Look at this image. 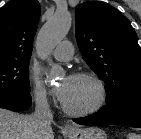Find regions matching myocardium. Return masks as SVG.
Masks as SVG:
<instances>
[{
  "instance_id": "1",
  "label": "myocardium",
  "mask_w": 141,
  "mask_h": 139,
  "mask_svg": "<svg viewBox=\"0 0 141 139\" xmlns=\"http://www.w3.org/2000/svg\"><path fill=\"white\" fill-rule=\"evenodd\" d=\"M71 77L91 80L98 89V98L92 106L84 109H73L62 102L63 111L71 116H89L100 111L105 106L108 97V91L104 81L98 75L89 71H80L74 73Z\"/></svg>"
}]
</instances>
